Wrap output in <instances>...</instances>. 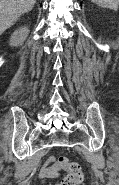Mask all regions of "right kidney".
Returning <instances> with one entry per match:
<instances>
[{"label":"right kidney","mask_w":119,"mask_h":185,"mask_svg":"<svg viewBox=\"0 0 119 185\" xmlns=\"http://www.w3.org/2000/svg\"><path fill=\"white\" fill-rule=\"evenodd\" d=\"M28 34L29 28L26 26L20 27L19 29L15 30L14 33L11 35L10 45L21 46L23 42L26 40Z\"/></svg>","instance_id":"right-kidney-1"}]
</instances>
